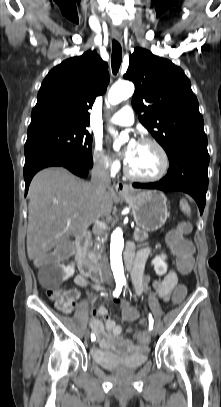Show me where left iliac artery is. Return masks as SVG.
I'll use <instances>...</instances> for the list:
<instances>
[{"mask_svg": "<svg viewBox=\"0 0 221 407\" xmlns=\"http://www.w3.org/2000/svg\"><path fill=\"white\" fill-rule=\"evenodd\" d=\"M124 285L126 284V280H124L122 282ZM153 324H154V320L151 314H149V328L152 330L153 329Z\"/></svg>", "mask_w": 221, "mask_h": 407, "instance_id": "1", "label": "left iliac artery"}]
</instances>
